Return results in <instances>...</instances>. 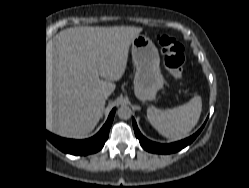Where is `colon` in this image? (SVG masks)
Returning <instances> with one entry per match:
<instances>
[{"label":"colon","mask_w":249,"mask_h":188,"mask_svg":"<svg viewBox=\"0 0 249 188\" xmlns=\"http://www.w3.org/2000/svg\"><path fill=\"white\" fill-rule=\"evenodd\" d=\"M155 40L161 48L166 69L175 79L183 83L184 48L182 44L177 39L166 34H158Z\"/></svg>","instance_id":"5ec220e1"}]
</instances>
